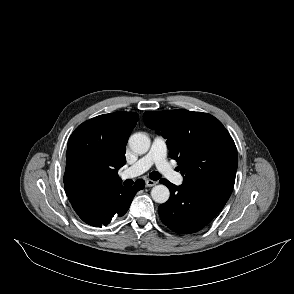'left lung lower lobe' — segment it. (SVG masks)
<instances>
[{"mask_svg": "<svg viewBox=\"0 0 294 294\" xmlns=\"http://www.w3.org/2000/svg\"><path fill=\"white\" fill-rule=\"evenodd\" d=\"M161 183L170 190V198L158 208L162 222L179 234H190L206 226L224 207L233 186L223 183L176 185Z\"/></svg>", "mask_w": 294, "mask_h": 294, "instance_id": "1", "label": "left lung lower lobe"}]
</instances>
